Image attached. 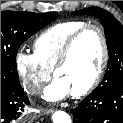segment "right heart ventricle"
<instances>
[{"mask_svg": "<svg viewBox=\"0 0 123 123\" xmlns=\"http://www.w3.org/2000/svg\"><path fill=\"white\" fill-rule=\"evenodd\" d=\"M86 23L79 20L59 22L43 31L34 41V54L49 70L58 61L66 40Z\"/></svg>", "mask_w": 123, "mask_h": 123, "instance_id": "1", "label": "right heart ventricle"}]
</instances>
